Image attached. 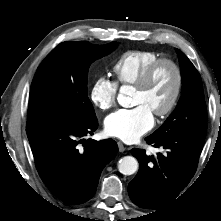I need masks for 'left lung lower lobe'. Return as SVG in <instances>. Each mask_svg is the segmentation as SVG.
Masks as SVG:
<instances>
[{
	"mask_svg": "<svg viewBox=\"0 0 221 221\" xmlns=\"http://www.w3.org/2000/svg\"><path fill=\"white\" fill-rule=\"evenodd\" d=\"M204 139L195 135H171L162 138L146 137L154 147H163L165 154L149 156L143 149L132 154L140 167L129 183L128 193L136 205L158 209L174 200L195 174Z\"/></svg>",
	"mask_w": 221,
	"mask_h": 221,
	"instance_id": "obj_1",
	"label": "left lung lower lobe"
}]
</instances>
